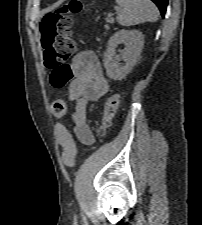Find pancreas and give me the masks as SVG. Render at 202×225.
Here are the masks:
<instances>
[{"instance_id": "1", "label": "pancreas", "mask_w": 202, "mask_h": 225, "mask_svg": "<svg viewBox=\"0 0 202 225\" xmlns=\"http://www.w3.org/2000/svg\"><path fill=\"white\" fill-rule=\"evenodd\" d=\"M107 23H111L109 22V19H106ZM108 29V25L105 26Z\"/></svg>"}]
</instances>
